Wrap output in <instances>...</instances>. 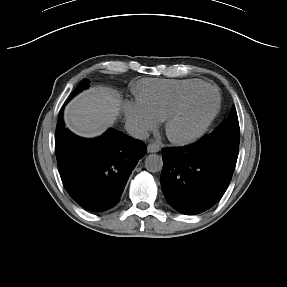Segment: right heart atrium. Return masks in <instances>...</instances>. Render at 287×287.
<instances>
[{
    "mask_svg": "<svg viewBox=\"0 0 287 287\" xmlns=\"http://www.w3.org/2000/svg\"><path fill=\"white\" fill-rule=\"evenodd\" d=\"M124 113L131 128L140 135L158 127L159 121L138 102L126 103Z\"/></svg>",
    "mask_w": 287,
    "mask_h": 287,
    "instance_id": "obj_1",
    "label": "right heart atrium"
}]
</instances>
